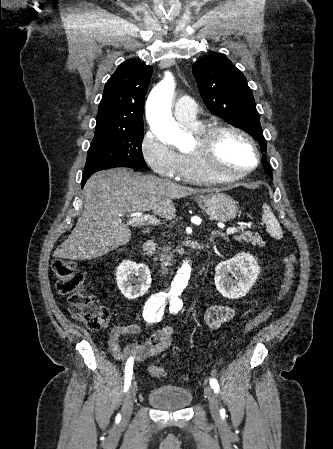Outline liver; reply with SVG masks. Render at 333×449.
Masks as SVG:
<instances>
[{
  "mask_svg": "<svg viewBox=\"0 0 333 449\" xmlns=\"http://www.w3.org/2000/svg\"><path fill=\"white\" fill-rule=\"evenodd\" d=\"M212 190L177 185L154 176H135L116 168L95 173L83 189L84 211L71 235L55 251L61 258L94 259L126 244L131 238L125 215L152 211L172 220L176 215L173 199ZM149 229L144 228L143 233Z\"/></svg>",
  "mask_w": 333,
  "mask_h": 449,
  "instance_id": "obj_1",
  "label": "liver"
}]
</instances>
